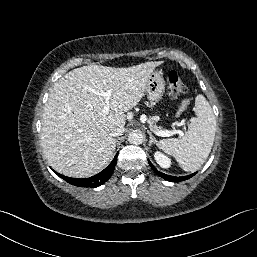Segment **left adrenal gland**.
<instances>
[{
  "mask_svg": "<svg viewBox=\"0 0 257 257\" xmlns=\"http://www.w3.org/2000/svg\"><path fill=\"white\" fill-rule=\"evenodd\" d=\"M148 132V134H149V136H150V138H149V145L151 146L153 143H156L157 144V140H156V138L152 135V133L148 130L147 131Z\"/></svg>",
  "mask_w": 257,
  "mask_h": 257,
  "instance_id": "a2214340",
  "label": "left adrenal gland"
}]
</instances>
